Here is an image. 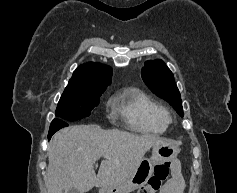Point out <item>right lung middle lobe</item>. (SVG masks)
Instances as JSON below:
<instances>
[{"label": "right lung middle lobe", "mask_w": 237, "mask_h": 193, "mask_svg": "<svg viewBox=\"0 0 237 193\" xmlns=\"http://www.w3.org/2000/svg\"><path fill=\"white\" fill-rule=\"evenodd\" d=\"M106 88L88 89L67 86L56 108V116L75 121L90 115ZM60 120V119H59Z\"/></svg>", "instance_id": "1"}]
</instances>
